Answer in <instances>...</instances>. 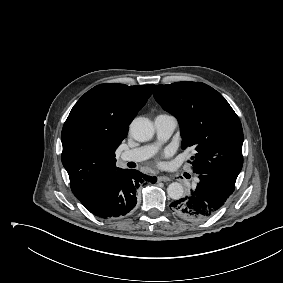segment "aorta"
I'll use <instances>...</instances> for the list:
<instances>
[{
    "label": "aorta",
    "instance_id": "obj_1",
    "mask_svg": "<svg viewBox=\"0 0 283 283\" xmlns=\"http://www.w3.org/2000/svg\"><path fill=\"white\" fill-rule=\"evenodd\" d=\"M130 133L136 141L146 142L153 137L154 126L149 119L139 117L130 124ZM167 193L170 198L179 200L183 196L184 189L180 183L173 182L167 187Z\"/></svg>",
    "mask_w": 283,
    "mask_h": 283
}]
</instances>
